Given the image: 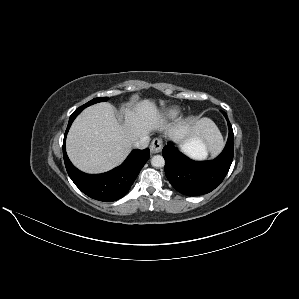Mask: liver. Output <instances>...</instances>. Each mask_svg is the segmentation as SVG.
Wrapping results in <instances>:
<instances>
[{
  "instance_id": "1",
  "label": "liver",
  "mask_w": 299,
  "mask_h": 299,
  "mask_svg": "<svg viewBox=\"0 0 299 299\" xmlns=\"http://www.w3.org/2000/svg\"><path fill=\"white\" fill-rule=\"evenodd\" d=\"M124 117V123L120 124L109 103L86 108L75 119L67 136L66 149L71 162L87 173L106 172L120 165L141 137L166 129L168 136L180 138L187 131L185 126L167 128L156 103L149 99L125 108ZM193 133L209 142L221 141L218 128L210 127L204 120L193 126Z\"/></svg>"
}]
</instances>
